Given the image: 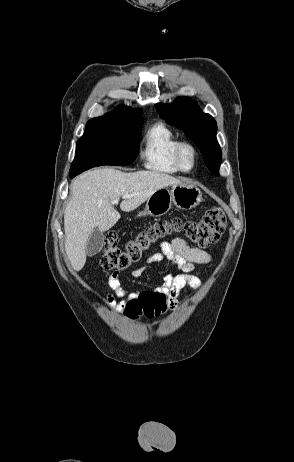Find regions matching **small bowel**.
<instances>
[{
  "instance_id": "c3829d8e",
  "label": "small bowel",
  "mask_w": 294,
  "mask_h": 462,
  "mask_svg": "<svg viewBox=\"0 0 294 462\" xmlns=\"http://www.w3.org/2000/svg\"><path fill=\"white\" fill-rule=\"evenodd\" d=\"M169 261L179 274H165L163 284L152 289L153 292L163 295L168 307L175 311L178 306V295L186 287L198 289L201 285L199 276L194 272L195 265L207 264L211 261V255L199 248L190 247L181 237H175L170 242L161 244L160 252L150 255L146 266L132 271L133 277L142 276L153 265L162 261ZM110 292L104 295L103 302L110 309L122 311L125 309L129 299L137 297L141 292L138 290H128L122 286L118 272H113L108 279ZM116 298L124 300L117 301Z\"/></svg>"
}]
</instances>
